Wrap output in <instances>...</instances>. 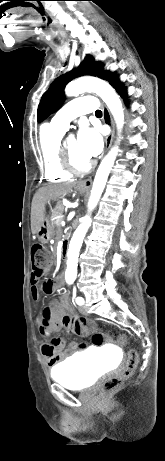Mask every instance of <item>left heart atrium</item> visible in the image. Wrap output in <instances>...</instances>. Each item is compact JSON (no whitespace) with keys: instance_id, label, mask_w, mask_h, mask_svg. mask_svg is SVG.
Returning a JSON list of instances; mask_svg holds the SVG:
<instances>
[{"instance_id":"1","label":"left heart atrium","mask_w":165,"mask_h":461,"mask_svg":"<svg viewBox=\"0 0 165 461\" xmlns=\"http://www.w3.org/2000/svg\"><path fill=\"white\" fill-rule=\"evenodd\" d=\"M77 144L80 153L90 160L101 152L103 139L97 129L84 125L79 130Z\"/></svg>"}]
</instances>
